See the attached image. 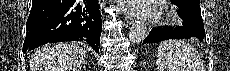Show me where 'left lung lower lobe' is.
<instances>
[{"label": "left lung lower lobe", "mask_w": 230, "mask_h": 71, "mask_svg": "<svg viewBox=\"0 0 230 71\" xmlns=\"http://www.w3.org/2000/svg\"><path fill=\"white\" fill-rule=\"evenodd\" d=\"M174 4L179 9L177 12L183 19V26L174 29L172 27L153 28L143 41V44L168 39H188L193 37L198 38L200 41L204 39L205 30L199 2L196 0H180Z\"/></svg>", "instance_id": "obj_1"}]
</instances>
